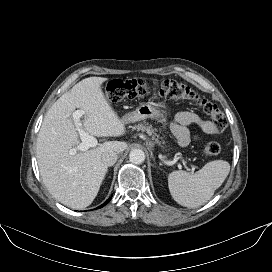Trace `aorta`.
<instances>
[{
    "instance_id": "762f6f07",
    "label": "aorta",
    "mask_w": 272,
    "mask_h": 272,
    "mask_svg": "<svg viewBox=\"0 0 272 272\" xmlns=\"http://www.w3.org/2000/svg\"><path fill=\"white\" fill-rule=\"evenodd\" d=\"M129 160L133 164H142L145 160V153L141 149H133L129 154Z\"/></svg>"
}]
</instances>
